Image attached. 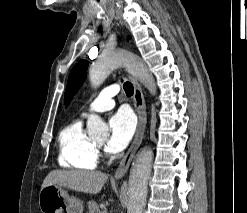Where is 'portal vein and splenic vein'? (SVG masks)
Here are the masks:
<instances>
[{
	"label": "portal vein and splenic vein",
	"mask_w": 247,
	"mask_h": 213,
	"mask_svg": "<svg viewBox=\"0 0 247 213\" xmlns=\"http://www.w3.org/2000/svg\"><path fill=\"white\" fill-rule=\"evenodd\" d=\"M102 213H107V210H103Z\"/></svg>",
	"instance_id": "portal-vein-and-splenic-vein-1"
}]
</instances>
